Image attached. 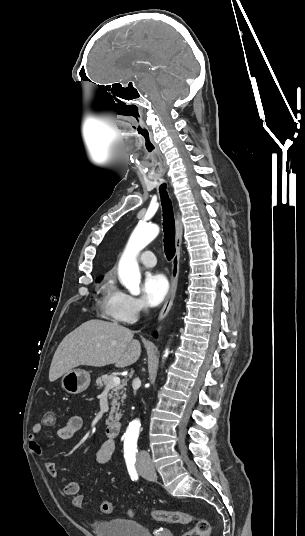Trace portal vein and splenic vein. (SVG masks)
<instances>
[{"instance_id":"18ae733b","label":"portal vein and splenic vein","mask_w":305,"mask_h":536,"mask_svg":"<svg viewBox=\"0 0 305 536\" xmlns=\"http://www.w3.org/2000/svg\"><path fill=\"white\" fill-rule=\"evenodd\" d=\"M115 384H120V378H112V382H108L106 388H112V386H115Z\"/></svg>"}]
</instances>
